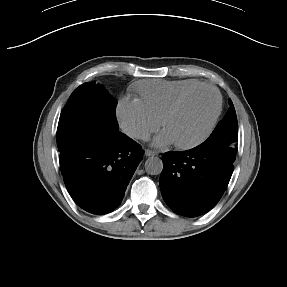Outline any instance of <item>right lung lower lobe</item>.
<instances>
[{
    "mask_svg": "<svg viewBox=\"0 0 287 287\" xmlns=\"http://www.w3.org/2000/svg\"><path fill=\"white\" fill-rule=\"evenodd\" d=\"M144 151L119 130H93L60 154L61 173L73 200L102 215L117 208Z\"/></svg>",
    "mask_w": 287,
    "mask_h": 287,
    "instance_id": "right-lung-lower-lobe-1",
    "label": "right lung lower lobe"
}]
</instances>
